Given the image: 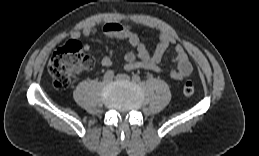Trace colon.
<instances>
[{
  "label": "colon",
  "mask_w": 259,
  "mask_h": 156,
  "mask_svg": "<svg viewBox=\"0 0 259 156\" xmlns=\"http://www.w3.org/2000/svg\"><path fill=\"white\" fill-rule=\"evenodd\" d=\"M92 65L93 60L84 53L82 45L71 40L53 53L48 62V73L55 87L65 89L79 73ZM182 90L185 95L190 96L195 91L194 84L187 81Z\"/></svg>",
  "instance_id": "obj_1"
}]
</instances>
